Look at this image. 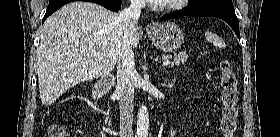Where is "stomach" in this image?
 <instances>
[{"label":"stomach","instance_id":"1","mask_svg":"<svg viewBox=\"0 0 280 137\" xmlns=\"http://www.w3.org/2000/svg\"><path fill=\"white\" fill-rule=\"evenodd\" d=\"M147 35L156 48L165 52L176 50L184 41L182 30L173 22L154 24L147 29Z\"/></svg>","mask_w":280,"mask_h":137}]
</instances>
